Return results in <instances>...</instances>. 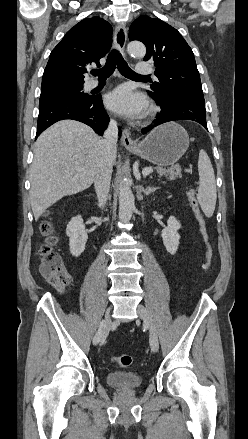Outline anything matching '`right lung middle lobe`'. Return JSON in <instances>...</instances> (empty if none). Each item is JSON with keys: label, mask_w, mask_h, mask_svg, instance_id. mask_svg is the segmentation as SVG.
<instances>
[{"label": "right lung middle lobe", "mask_w": 248, "mask_h": 439, "mask_svg": "<svg viewBox=\"0 0 248 439\" xmlns=\"http://www.w3.org/2000/svg\"><path fill=\"white\" fill-rule=\"evenodd\" d=\"M90 98L91 97L88 94L83 92V87L67 90L60 93L40 96L39 110L64 101H69L73 99L88 100Z\"/></svg>", "instance_id": "right-lung-middle-lobe-1"}]
</instances>
